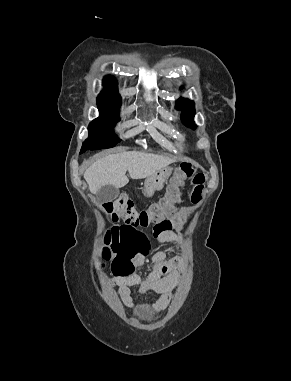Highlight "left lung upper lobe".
<instances>
[{
    "instance_id": "1",
    "label": "left lung upper lobe",
    "mask_w": 291,
    "mask_h": 381,
    "mask_svg": "<svg viewBox=\"0 0 291 381\" xmlns=\"http://www.w3.org/2000/svg\"><path fill=\"white\" fill-rule=\"evenodd\" d=\"M176 109L182 110L181 119L188 127H195V122L193 121L195 115V107L193 101L181 98L176 104Z\"/></svg>"
}]
</instances>
